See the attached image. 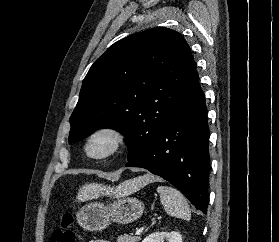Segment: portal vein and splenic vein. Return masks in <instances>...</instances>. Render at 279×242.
I'll return each instance as SVG.
<instances>
[{"instance_id":"1","label":"portal vein and splenic vein","mask_w":279,"mask_h":242,"mask_svg":"<svg viewBox=\"0 0 279 242\" xmlns=\"http://www.w3.org/2000/svg\"><path fill=\"white\" fill-rule=\"evenodd\" d=\"M143 230H144V228L137 229L136 232H135V234H136V235H141L142 232H143Z\"/></svg>"}]
</instances>
